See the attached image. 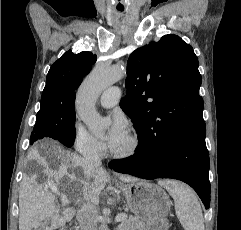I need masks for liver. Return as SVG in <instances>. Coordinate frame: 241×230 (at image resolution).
I'll return each mask as SVG.
<instances>
[{"label": "liver", "instance_id": "6515ba94", "mask_svg": "<svg viewBox=\"0 0 241 230\" xmlns=\"http://www.w3.org/2000/svg\"><path fill=\"white\" fill-rule=\"evenodd\" d=\"M42 148V153L33 148L28 154V160L35 161L37 167L35 173L23 177L20 185L19 230H39L49 220L54 228L64 225L58 215L56 196L48 190L45 182H38L39 177L54 179L57 184L63 177H67L73 188L63 189L66 191V199L68 197L76 202L89 200L93 204L98 202L99 194L107 183V174L103 168L94 169L91 176L93 180L90 182L78 171V168H82L83 158L56 145ZM120 179L126 183L138 181L137 178L124 175Z\"/></svg>", "mask_w": 241, "mask_h": 230}]
</instances>
